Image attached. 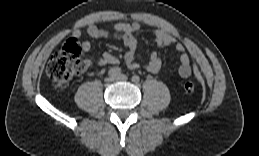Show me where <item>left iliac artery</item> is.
Wrapping results in <instances>:
<instances>
[{"mask_svg":"<svg viewBox=\"0 0 259 156\" xmlns=\"http://www.w3.org/2000/svg\"><path fill=\"white\" fill-rule=\"evenodd\" d=\"M132 81L135 82V83H138L140 81V77L138 75H134L132 76Z\"/></svg>","mask_w":259,"mask_h":156,"instance_id":"left-iliac-artery-1","label":"left iliac artery"}]
</instances>
